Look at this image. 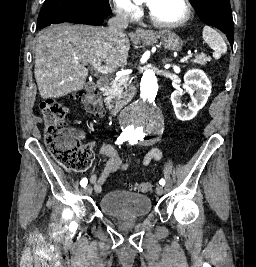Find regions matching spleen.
Returning a JSON list of instances; mask_svg holds the SVG:
<instances>
[{
    "label": "spleen",
    "instance_id": "obj_1",
    "mask_svg": "<svg viewBox=\"0 0 256 267\" xmlns=\"http://www.w3.org/2000/svg\"><path fill=\"white\" fill-rule=\"evenodd\" d=\"M202 38L212 50L214 58H220L222 54H226L227 52V46L222 38L220 36L219 32H216V30H213V28H210V26H204L203 32H202Z\"/></svg>",
    "mask_w": 256,
    "mask_h": 267
}]
</instances>
